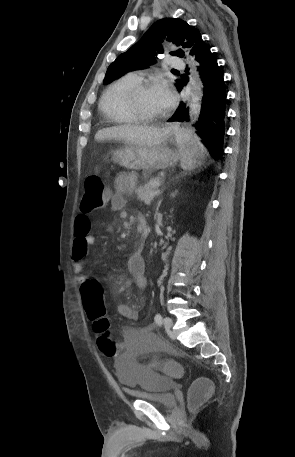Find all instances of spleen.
Masks as SVG:
<instances>
[{
  "label": "spleen",
  "instance_id": "1",
  "mask_svg": "<svg viewBox=\"0 0 295 457\" xmlns=\"http://www.w3.org/2000/svg\"><path fill=\"white\" fill-rule=\"evenodd\" d=\"M175 131L177 143L179 144L181 168L184 170H192L200 164V160L204 158L206 151L201 145L198 137H190L187 133H184L178 128H175Z\"/></svg>",
  "mask_w": 295,
  "mask_h": 457
}]
</instances>
